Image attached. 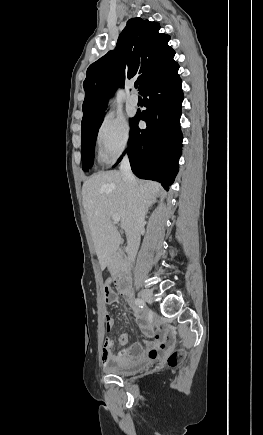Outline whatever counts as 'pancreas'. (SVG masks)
Masks as SVG:
<instances>
[{
  "mask_svg": "<svg viewBox=\"0 0 263 435\" xmlns=\"http://www.w3.org/2000/svg\"><path fill=\"white\" fill-rule=\"evenodd\" d=\"M122 265V260L121 258L118 256V254L114 255L112 257V260L110 262V269L111 270H118Z\"/></svg>",
  "mask_w": 263,
  "mask_h": 435,
  "instance_id": "1",
  "label": "pancreas"
}]
</instances>
